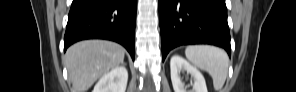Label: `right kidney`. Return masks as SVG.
Masks as SVG:
<instances>
[{
	"mask_svg": "<svg viewBox=\"0 0 296 92\" xmlns=\"http://www.w3.org/2000/svg\"><path fill=\"white\" fill-rule=\"evenodd\" d=\"M127 81V69L124 65L118 66L100 78L93 92H125Z\"/></svg>",
	"mask_w": 296,
	"mask_h": 92,
	"instance_id": "right-kidney-1",
	"label": "right kidney"
}]
</instances>
